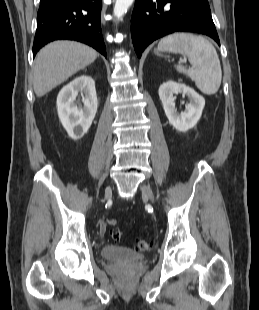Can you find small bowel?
Returning <instances> with one entry per match:
<instances>
[{
	"label": "small bowel",
	"mask_w": 259,
	"mask_h": 310,
	"mask_svg": "<svg viewBox=\"0 0 259 310\" xmlns=\"http://www.w3.org/2000/svg\"><path fill=\"white\" fill-rule=\"evenodd\" d=\"M105 230H106L105 224H101V226H100V233H101V235H104Z\"/></svg>",
	"instance_id": "1"
}]
</instances>
